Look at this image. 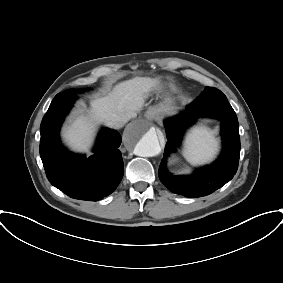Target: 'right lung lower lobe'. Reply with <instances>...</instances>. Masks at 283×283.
<instances>
[{"instance_id":"98d812e1","label":"right lung lower lobe","mask_w":283,"mask_h":283,"mask_svg":"<svg viewBox=\"0 0 283 283\" xmlns=\"http://www.w3.org/2000/svg\"><path fill=\"white\" fill-rule=\"evenodd\" d=\"M77 96L65 91L55 96L41 126L40 156L50 183L74 199L98 201L111 194L120 183L123 160L117 131L104 129L95 154L85 156L68 152L60 143L59 128Z\"/></svg>"}]
</instances>
